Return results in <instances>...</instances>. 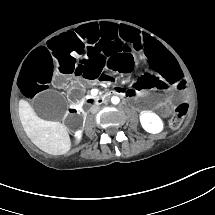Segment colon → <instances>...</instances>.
Segmentation results:
<instances>
[{"label":"colon","mask_w":215,"mask_h":215,"mask_svg":"<svg viewBox=\"0 0 215 215\" xmlns=\"http://www.w3.org/2000/svg\"><path fill=\"white\" fill-rule=\"evenodd\" d=\"M188 109L189 106L187 103H181L175 108L170 123L172 128H178L181 125L185 115L188 112Z\"/></svg>","instance_id":"1"}]
</instances>
